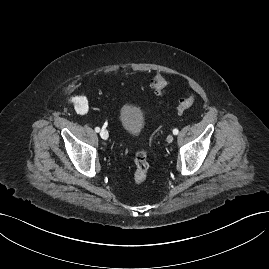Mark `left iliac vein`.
I'll use <instances>...</instances> for the list:
<instances>
[{
  "label": "left iliac vein",
  "instance_id": "left-iliac-vein-1",
  "mask_svg": "<svg viewBox=\"0 0 269 269\" xmlns=\"http://www.w3.org/2000/svg\"><path fill=\"white\" fill-rule=\"evenodd\" d=\"M173 139H174V138H173L172 135H168L166 141H167L168 143H172Z\"/></svg>",
  "mask_w": 269,
  "mask_h": 269
}]
</instances>
